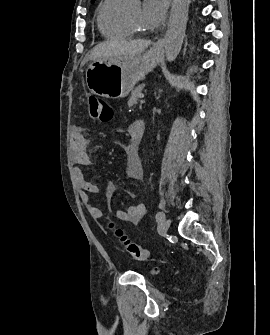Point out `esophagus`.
I'll use <instances>...</instances> for the list:
<instances>
[{"instance_id":"esophagus-1","label":"esophagus","mask_w":270,"mask_h":335,"mask_svg":"<svg viewBox=\"0 0 270 335\" xmlns=\"http://www.w3.org/2000/svg\"><path fill=\"white\" fill-rule=\"evenodd\" d=\"M163 45H164V38L160 37V38H158L157 41L155 42L153 48H154L155 50H157V49H161V48L163 47Z\"/></svg>"}]
</instances>
